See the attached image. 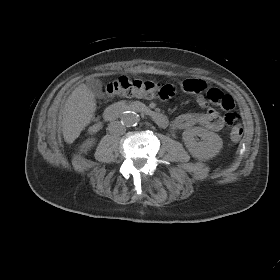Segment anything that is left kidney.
Instances as JSON below:
<instances>
[{"mask_svg":"<svg viewBox=\"0 0 280 280\" xmlns=\"http://www.w3.org/2000/svg\"><path fill=\"white\" fill-rule=\"evenodd\" d=\"M196 136L201 137L203 141L197 142ZM183 139L190 154L198 159L214 157L219 153L223 145L222 139L218 134L202 127H194L184 131Z\"/></svg>","mask_w":280,"mask_h":280,"instance_id":"5707ae66","label":"left kidney"}]
</instances>
